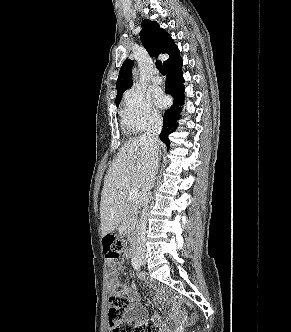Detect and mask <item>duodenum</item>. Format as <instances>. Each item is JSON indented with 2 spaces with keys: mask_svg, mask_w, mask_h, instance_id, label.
Segmentation results:
<instances>
[{
  "mask_svg": "<svg viewBox=\"0 0 291 332\" xmlns=\"http://www.w3.org/2000/svg\"><path fill=\"white\" fill-rule=\"evenodd\" d=\"M134 248H135V242L132 241V248H131V250H130V252H129V255H130V256H133V255L135 254Z\"/></svg>",
  "mask_w": 291,
  "mask_h": 332,
  "instance_id": "1",
  "label": "duodenum"
}]
</instances>
